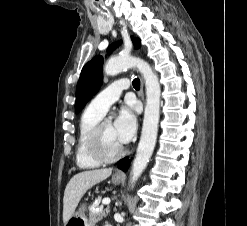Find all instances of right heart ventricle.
<instances>
[{
    "instance_id": "e07e8e85",
    "label": "right heart ventricle",
    "mask_w": 247,
    "mask_h": 226,
    "mask_svg": "<svg viewBox=\"0 0 247 226\" xmlns=\"http://www.w3.org/2000/svg\"><path fill=\"white\" fill-rule=\"evenodd\" d=\"M102 117L101 113L93 110L91 107H87L81 116L76 142V164L81 169H92L100 165L99 162L89 155L87 139Z\"/></svg>"
}]
</instances>
